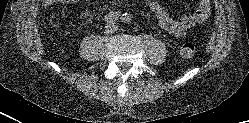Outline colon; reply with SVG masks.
Segmentation results:
<instances>
[{
  "label": "colon",
  "instance_id": "1",
  "mask_svg": "<svg viewBox=\"0 0 249 123\" xmlns=\"http://www.w3.org/2000/svg\"><path fill=\"white\" fill-rule=\"evenodd\" d=\"M196 52V46L192 41H186L180 48V54L183 58H192Z\"/></svg>",
  "mask_w": 249,
  "mask_h": 123
}]
</instances>
